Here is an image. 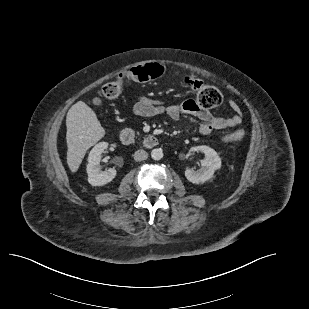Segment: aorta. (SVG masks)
<instances>
[{"instance_id": "1", "label": "aorta", "mask_w": 309, "mask_h": 309, "mask_svg": "<svg viewBox=\"0 0 309 309\" xmlns=\"http://www.w3.org/2000/svg\"><path fill=\"white\" fill-rule=\"evenodd\" d=\"M151 157L154 160H160L163 158V151L160 148H155L151 151Z\"/></svg>"}]
</instances>
